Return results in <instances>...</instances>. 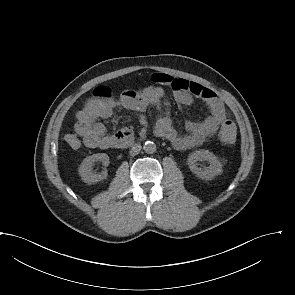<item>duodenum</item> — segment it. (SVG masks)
<instances>
[{"mask_svg":"<svg viewBox=\"0 0 295 295\" xmlns=\"http://www.w3.org/2000/svg\"><path fill=\"white\" fill-rule=\"evenodd\" d=\"M134 144V139L131 135L123 136L115 141V147L122 148Z\"/></svg>","mask_w":295,"mask_h":295,"instance_id":"1","label":"duodenum"}]
</instances>
